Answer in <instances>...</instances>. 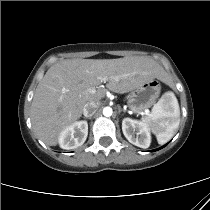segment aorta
<instances>
[{"mask_svg":"<svg viewBox=\"0 0 210 210\" xmlns=\"http://www.w3.org/2000/svg\"><path fill=\"white\" fill-rule=\"evenodd\" d=\"M113 111H112V108L110 107H105L103 109V115L106 116V117H110L112 115Z\"/></svg>","mask_w":210,"mask_h":210,"instance_id":"1","label":"aorta"}]
</instances>
